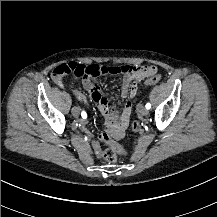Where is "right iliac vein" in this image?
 Returning <instances> with one entry per match:
<instances>
[{"label": "right iliac vein", "mask_w": 217, "mask_h": 217, "mask_svg": "<svg viewBox=\"0 0 217 217\" xmlns=\"http://www.w3.org/2000/svg\"><path fill=\"white\" fill-rule=\"evenodd\" d=\"M71 113H72V115H73L75 118H77L78 115L80 114V110H79V108H78L77 106H74V107L72 108V110H71Z\"/></svg>", "instance_id": "obj_1"}]
</instances>
